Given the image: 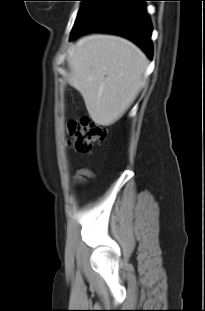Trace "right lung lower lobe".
Wrapping results in <instances>:
<instances>
[{"label": "right lung lower lobe", "instance_id": "right-lung-lower-lobe-1", "mask_svg": "<svg viewBox=\"0 0 205 311\" xmlns=\"http://www.w3.org/2000/svg\"><path fill=\"white\" fill-rule=\"evenodd\" d=\"M144 1L91 0L75 23L70 40L90 32L116 34L133 41L152 59V26Z\"/></svg>", "mask_w": 205, "mask_h": 311}]
</instances>
